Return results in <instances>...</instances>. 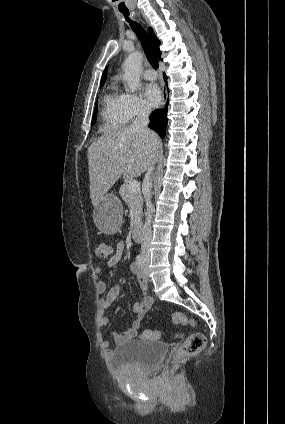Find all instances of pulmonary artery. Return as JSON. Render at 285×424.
Instances as JSON below:
<instances>
[{"instance_id":"pulmonary-artery-1","label":"pulmonary artery","mask_w":285,"mask_h":424,"mask_svg":"<svg viewBox=\"0 0 285 424\" xmlns=\"http://www.w3.org/2000/svg\"><path fill=\"white\" fill-rule=\"evenodd\" d=\"M143 76L146 80L153 81L157 78V73L155 70L148 68L144 71Z\"/></svg>"}]
</instances>
